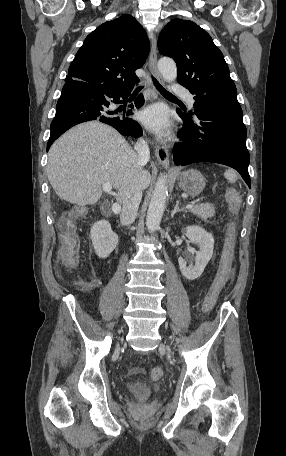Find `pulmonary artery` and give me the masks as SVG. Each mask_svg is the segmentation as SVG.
Masks as SVG:
<instances>
[{
	"label": "pulmonary artery",
	"mask_w": 286,
	"mask_h": 456,
	"mask_svg": "<svg viewBox=\"0 0 286 456\" xmlns=\"http://www.w3.org/2000/svg\"><path fill=\"white\" fill-rule=\"evenodd\" d=\"M174 93L178 96H181V97H184L187 99L188 103L192 106L193 105V99H192V96L190 94V92L185 89V88H181V87H176L174 89Z\"/></svg>",
	"instance_id": "pulmonary-artery-1"
}]
</instances>
